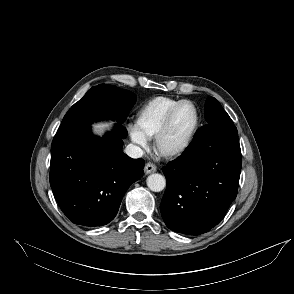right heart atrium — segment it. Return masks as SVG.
Returning a JSON list of instances; mask_svg holds the SVG:
<instances>
[{
	"label": "right heart atrium",
	"instance_id": "right-heart-atrium-1",
	"mask_svg": "<svg viewBox=\"0 0 294 294\" xmlns=\"http://www.w3.org/2000/svg\"><path fill=\"white\" fill-rule=\"evenodd\" d=\"M129 133L132 140L139 146L145 148L147 146V139L140 133L136 126H129Z\"/></svg>",
	"mask_w": 294,
	"mask_h": 294
}]
</instances>
